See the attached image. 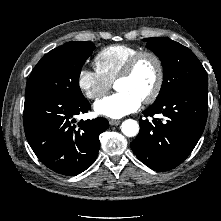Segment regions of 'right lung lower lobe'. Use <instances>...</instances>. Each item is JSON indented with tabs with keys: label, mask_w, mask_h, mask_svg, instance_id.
<instances>
[{
	"label": "right lung lower lobe",
	"mask_w": 221,
	"mask_h": 221,
	"mask_svg": "<svg viewBox=\"0 0 221 221\" xmlns=\"http://www.w3.org/2000/svg\"><path fill=\"white\" fill-rule=\"evenodd\" d=\"M86 98L72 100L61 95L27 90L24 103V130L38 159L62 175H77L92 165L99 147V135L109 127L99 117L75 125V115L86 113Z\"/></svg>",
	"instance_id": "98d812e1"
}]
</instances>
